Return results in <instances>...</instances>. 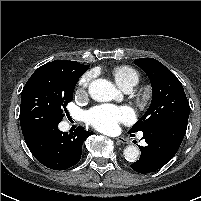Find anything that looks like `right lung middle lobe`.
I'll return each mask as SVG.
<instances>
[{
  "mask_svg": "<svg viewBox=\"0 0 201 201\" xmlns=\"http://www.w3.org/2000/svg\"><path fill=\"white\" fill-rule=\"evenodd\" d=\"M89 65L76 61H52L39 67L21 93L20 125L27 129L42 123H60L73 99L79 77Z\"/></svg>",
  "mask_w": 201,
  "mask_h": 201,
  "instance_id": "obj_1",
  "label": "right lung middle lobe"
}]
</instances>
